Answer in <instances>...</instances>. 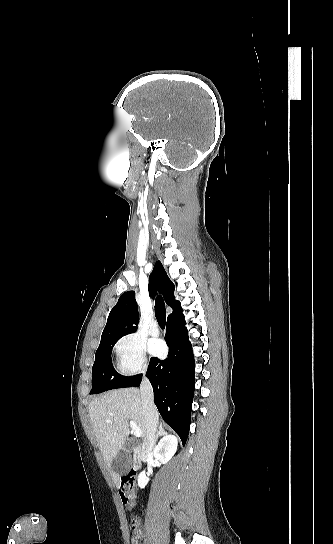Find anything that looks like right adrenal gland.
<instances>
[{"instance_id":"2a0ac1e0","label":"right adrenal gland","mask_w":333,"mask_h":544,"mask_svg":"<svg viewBox=\"0 0 333 544\" xmlns=\"http://www.w3.org/2000/svg\"><path fill=\"white\" fill-rule=\"evenodd\" d=\"M167 432L164 430L162 424L159 425V429H158V432H157V435L155 437V444L156 442L158 441L159 437H162L164 435H166Z\"/></svg>"}]
</instances>
